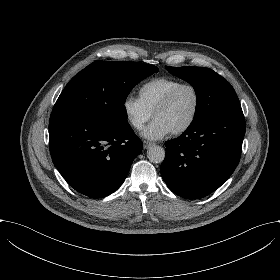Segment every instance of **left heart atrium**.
Returning a JSON list of instances; mask_svg holds the SVG:
<instances>
[{
	"mask_svg": "<svg viewBox=\"0 0 280 280\" xmlns=\"http://www.w3.org/2000/svg\"><path fill=\"white\" fill-rule=\"evenodd\" d=\"M173 132V129L161 118H154L151 124L144 130L142 136L148 140H161Z\"/></svg>",
	"mask_w": 280,
	"mask_h": 280,
	"instance_id": "left-heart-atrium-1",
	"label": "left heart atrium"
}]
</instances>
